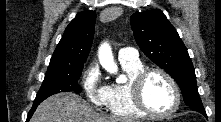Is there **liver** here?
Here are the masks:
<instances>
[{
    "label": "liver",
    "mask_w": 221,
    "mask_h": 122,
    "mask_svg": "<svg viewBox=\"0 0 221 122\" xmlns=\"http://www.w3.org/2000/svg\"><path fill=\"white\" fill-rule=\"evenodd\" d=\"M31 122H134L96 113L80 96L59 93L47 98L36 109Z\"/></svg>",
    "instance_id": "obj_1"
}]
</instances>
